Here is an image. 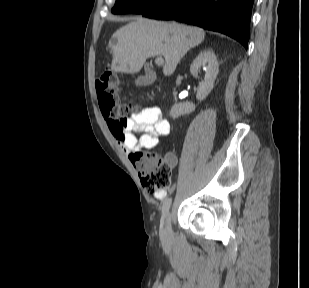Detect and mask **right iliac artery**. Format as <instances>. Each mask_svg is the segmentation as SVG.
<instances>
[{
	"mask_svg": "<svg viewBox=\"0 0 309 288\" xmlns=\"http://www.w3.org/2000/svg\"><path fill=\"white\" fill-rule=\"evenodd\" d=\"M171 198H166L164 200L163 206H162V212L165 213L166 211H168V209L170 208L171 205Z\"/></svg>",
	"mask_w": 309,
	"mask_h": 288,
	"instance_id": "82829eb1",
	"label": "right iliac artery"
}]
</instances>
